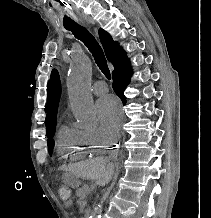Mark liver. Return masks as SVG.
<instances>
[{
	"label": "liver",
	"mask_w": 211,
	"mask_h": 218,
	"mask_svg": "<svg viewBox=\"0 0 211 218\" xmlns=\"http://www.w3.org/2000/svg\"><path fill=\"white\" fill-rule=\"evenodd\" d=\"M108 160L104 158H93V160H87L81 166V174L86 176L88 180H96V184L105 186L109 182V178L112 174V164H107Z\"/></svg>",
	"instance_id": "liver-1"
}]
</instances>
